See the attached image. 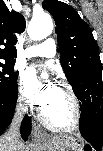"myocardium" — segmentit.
Returning <instances> with one entry per match:
<instances>
[{
	"label": "myocardium",
	"mask_w": 103,
	"mask_h": 151,
	"mask_svg": "<svg viewBox=\"0 0 103 151\" xmlns=\"http://www.w3.org/2000/svg\"><path fill=\"white\" fill-rule=\"evenodd\" d=\"M57 86L63 89L70 98L72 109H73L72 121L67 125H57L47 118L43 109L40 110V114H39L40 120L47 128L53 131L68 132V131L75 130L80 125L81 117H82V110H81L79 98L76 95L72 86L67 82L60 81Z\"/></svg>",
	"instance_id": "myocardium-1"
}]
</instances>
